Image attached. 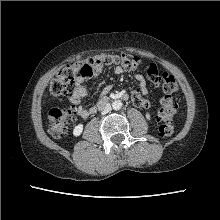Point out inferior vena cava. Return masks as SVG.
Masks as SVG:
<instances>
[{"label":"inferior vena cava","mask_w":220,"mask_h":220,"mask_svg":"<svg viewBox=\"0 0 220 220\" xmlns=\"http://www.w3.org/2000/svg\"><path fill=\"white\" fill-rule=\"evenodd\" d=\"M101 110H102V114H107L108 112L111 111V105L107 103L103 108H101Z\"/></svg>","instance_id":"inferior-vena-cava-1"}]
</instances>
